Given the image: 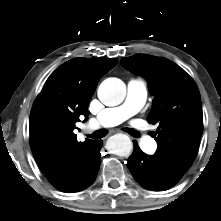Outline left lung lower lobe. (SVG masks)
Listing matches in <instances>:
<instances>
[{
    "label": "left lung lower lobe",
    "mask_w": 221,
    "mask_h": 221,
    "mask_svg": "<svg viewBox=\"0 0 221 221\" xmlns=\"http://www.w3.org/2000/svg\"><path fill=\"white\" fill-rule=\"evenodd\" d=\"M127 166L134 179L152 191L168 190L178 182L169 177L154 155L150 156L142 152L136 142H134V151L128 158Z\"/></svg>",
    "instance_id": "obj_1"
}]
</instances>
